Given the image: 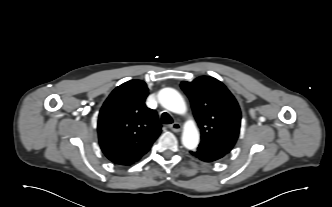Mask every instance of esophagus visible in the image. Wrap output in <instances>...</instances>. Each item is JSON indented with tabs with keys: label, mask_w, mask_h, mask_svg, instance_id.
Returning <instances> with one entry per match:
<instances>
[{
	"label": "esophagus",
	"mask_w": 332,
	"mask_h": 207,
	"mask_svg": "<svg viewBox=\"0 0 332 207\" xmlns=\"http://www.w3.org/2000/svg\"><path fill=\"white\" fill-rule=\"evenodd\" d=\"M169 128L173 131V132H179L181 130V124L178 122H174L173 124H171L169 126Z\"/></svg>",
	"instance_id": "obj_1"
}]
</instances>
